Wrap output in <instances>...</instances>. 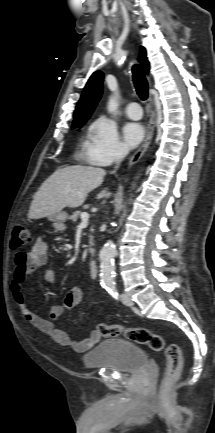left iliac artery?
<instances>
[{
	"label": "left iliac artery",
	"mask_w": 215,
	"mask_h": 433,
	"mask_svg": "<svg viewBox=\"0 0 215 433\" xmlns=\"http://www.w3.org/2000/svg\"><path fill=\"white\" fill-rule=\"evenodd\" d=\"M107 291L112 295L114 299H118L119 295L115 285H110L107 287Z\"/></svg>",
	"instance_id": "left-iliac-artery-1"
}]
</instances>
